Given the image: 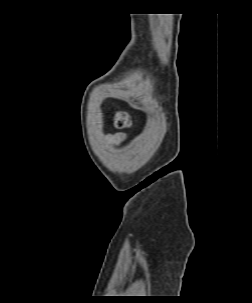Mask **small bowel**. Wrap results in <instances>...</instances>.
I'll return each instance as SVG.
<instances>
[{
	"instance_id": "obj_1",
	"label": "small bowel",
	"mask_w": 252,
	"mask_h": 303,
	"mask_svg": "<svg viewBox=\"0 0 252 303\" xmlns=\"http://www.w3.org/2000/svg\"><path fill=\"white\" fill-rule=\"evenodd\" d=\"M107 137L111 139L114 146H121L125 138L123 133H107Z\"/></svg>"
}]
</instances>
